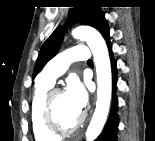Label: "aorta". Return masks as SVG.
I'll return each mask as SVG.
<instances>
[{"label":"aorta","instance_id":"762f6f07","mask_svg":"<svg viewBox=\"0 0 155 141\" xmlns=\"http://www.w3.org/2000/svg\"><path fill=\"white\" fill-rule=\"evenodd\" d=\"M72 35L76 39L86 41L96 65L98 85L96 108L86 131V141H94L106 123L110 108L112 75L109 53L103 37L92 27H77L72 31Z\"/></svg>","mask_w":155,"mask_h":141}]
</instances>
